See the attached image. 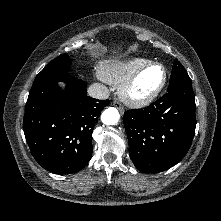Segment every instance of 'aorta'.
I'll return each mask as SVG.
<instances>
[{
  "label": "aorta",
  "mask_w": 221,
  "mask_h": 221,
  "mask_svg": "<svg viewBox=\"0 0 221 221\" xmlns=\"http://www.w3.org/2000/svg\"><path fill=\"white\" fill-rule=\"evenodd\" d=\"M120 119L118 110L114 107H109L103 111L101 115V121L105 125H115Z\"/></svg>",
  "instance_id": "1"
}]
</instances>
